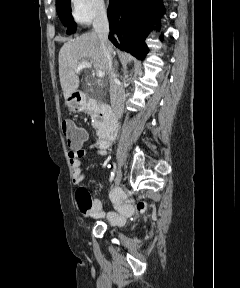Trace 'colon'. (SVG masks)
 <instances>
[{"instance_id": "1", "label": "colon", "mask_w": 240, "mask_h": 288, "mask_svg": "<svg viewBox=\"0 0 240 288\" xmlns=\"http://www.w3.org/2000/svg\"><path fill=\"white\" fill-rule=\"evenodd\" d=\"M62 130L69 146L81 145L85 140L84 132L79 129L72 121H63Z\"/></svg>"}]
</instances>
